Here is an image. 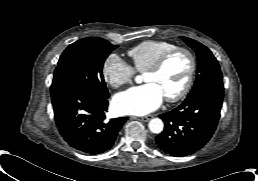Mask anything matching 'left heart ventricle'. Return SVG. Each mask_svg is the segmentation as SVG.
<instances>
[{
  "label": "left heart ventricle",
  "mask_w": 258,
  "mask_h": 181,
  "mask_svg": "<svg viewBox=\"0 0 258 181\" xmlns=\"http://www.w3.org/2000/svg\"><path fill=\"white\" fill-rule=\"evenodd\" d=\"M190 62L184 53H177L172 56L158 73H145L146 83L156 84L163 95L170 96L176 94L184 86Z\"/></svg>",
  "instance_id": "left-heart-ventricle-1"
}]
</instances>
